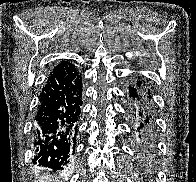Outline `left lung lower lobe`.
<instances>
[{"label":"left lung lower lobe","instance_id":"0a47b994","mask_svg":"<svg viewBox=\"0 0 196 182\" xmlns=\"http://www.w3.org/2000/svg\"><path fill=\"white\" fill-rule=\"evenodd\" d=\"M131 84L129 86L130 117L134 120L138 138L146 148L149 146L153 128V117L150 113L151 93L140 76H135Z\"/></svg>","mask_w":196,"mask_h":182}]
</instances>
